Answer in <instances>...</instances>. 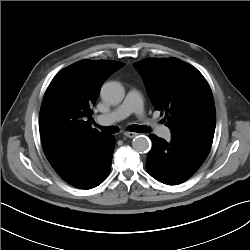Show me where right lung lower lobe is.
<instances>
[{
	"instance_id": "98d812e1",
	"label": "right lung lower lobe",
	"mask_w": 250,
	"mask_h": 250,
	"mask_svg": "<svg viewBox=\"0 0 250 250\" xmlns=\"http://www.w3.org/2000/svg\"><path fill=\"white\" fill-rule=\"evenodd\" d=\"M114 146L113 135L101 134L50 164L67 183L77 188L91 189L108 176Z\"/></svg>"
}]
</instances>
